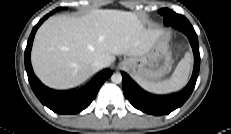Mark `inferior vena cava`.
Returning <instances> with one entry per match:
<instances>
[{
    "label": "inferior vena cava",
    "mask_w": 231,
    "mask_h": 134,
    "mask_svg": "<svg viewBox=\"0 0 231 134\" xmlns=\"http://www.w3.org/2000/svg\"><path fill=\"white\" fill-rule=\"evenodd\" d=\"M103 67H104V63L100 60L94 61L92 64V68L95 71H98V70L102 69Z\"/></svg>",
    "instance_id": "inferior-vena-cava-1"
}]
</instances>
